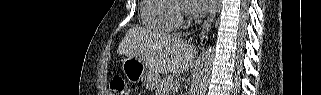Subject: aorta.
Here are the masks:
<instances>
[{"instance_id":"762f6f07","label":"aorta","mask_w":321,"mask_h":95,"mask_svg":"<svg viewBox=\"0 0 321 95\" xmlns=\"http://www.w3.org/2000/svg\"><path fill=\"white\" fill-rule=\"evenodd\" d=\"M213 58V48L209 46L199 58L190 95H205L211 77Z\"/></svg>"}]
</instances>
